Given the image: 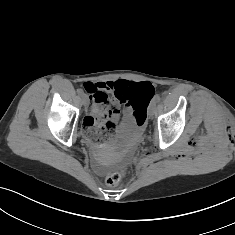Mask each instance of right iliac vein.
<instances>
[{
	"label": "right iliac vein",
	"mask_w": 235,
	"mask_h": 235,
	"mask_svg": "<svg viewBox=\"0 0 235 235\" xmlns=\"http://www.w3.org/2000/svg\"><path fill=\"white\" fill-rule=\"evenodd\" d=\"M82 102H83V105L85 107H87L89 105V101H88V99L85 96H83V101Z\"/></svg>",
	"instance_id": "1"
}]
</instances>
